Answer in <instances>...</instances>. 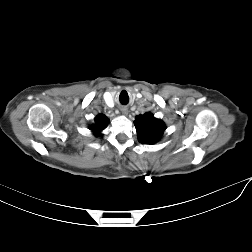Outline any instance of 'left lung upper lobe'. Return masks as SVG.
I'll return each mask as SVG.
<instances>
[{"instance_id":"5c2ea615","label":"left lung upper lobe","mask_w":252,"mask_h":252,"mask_svg":"<svg viewBox=\"0 0 252 252\" xmlns=\"http://www.w3.org/2000/svg\"><path fill=\"white\" fill-rule=\"evenodd\" d=\"M134 125L137 130L138 140L141 143L147 144H153L159 141L166 129L164 122L156 119L150 112L137 115Z\"/></svg>"}]
</instances>
